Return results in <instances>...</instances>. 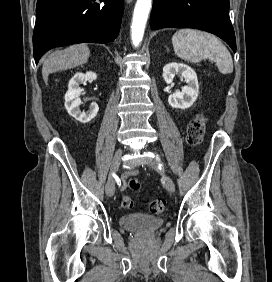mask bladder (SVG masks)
<instances>
[{"mask_svg":"<svg viewBox=\"0 0 272 282\" xmlns=\"http://www.w3.org/2000/svg\"><path fill=\"white\" fill-rule=\"evenodd\" d=\"M120 225L130 231L151 234L163 225V219L157 216L130 214L119 218Z\"/></svg>","mask_w":272,"mask_h":282,"instance_id":"bladder-1","label":"bladder"}]
</instances>
